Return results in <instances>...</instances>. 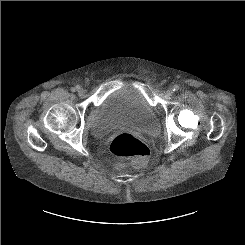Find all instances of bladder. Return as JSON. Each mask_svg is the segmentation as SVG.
<instances>
[{"label": "bladder", "mask_w": 245, "mask_h": 245, "mask_svg": "<svg viewBox=\"0 0 245 245\" xmlns=\"http://www.w3.org/2000/svg\"><path fill=\"white\" fill-rule=\"evenodd\" d=\"M122 123L147 132H153L159 126V120L146 99L128 84L111 92L103 100L90 126V133L100 139Z\"/></svg>", "instance_id": "31cf9c89"}]
</instances>
